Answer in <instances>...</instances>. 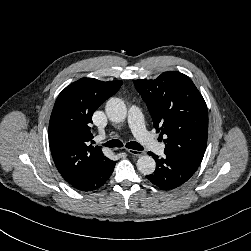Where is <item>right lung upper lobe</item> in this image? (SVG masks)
Masks as SVG:
<instances>
[{
    "label": "right lung upper lobe",
    "mask_w": 251,
    "mask_h": 251,
    "mask_svg": "<svg viewBox=\"0 0 251 251\" xmlns=\"http://www.w3.org/2000/svg\"><path fill=\"white\" fill-rule=\"evenodd\" d=\"M122 81L103 82L81 78L59 94L49 122V144L55 166L62 177L74 185L88 171L108 160L100 146H92V115Z\"/></svg>",
    "instance_id": "cb5924a9"
}]
</instances>
